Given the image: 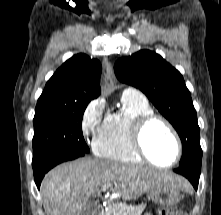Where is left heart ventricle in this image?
Here are the masks:
<instances>
[{
    "label": "left heart ventricle",
    "mask_w": 221,
    "mask_h": 215,
    "mask_svg": "<svg viewBox=\"0 0 221 215\" xmlns=\"http://www.w3.org/2000/svg\"><path fill=\"white\" fill-rule=\"evenodd\" d=\"M148 155L158 164L171 163L176 156V144L168 129L160 122H152L143 136Z\"/></svg>",
    "instance_id": "1"
}]
</instances>
